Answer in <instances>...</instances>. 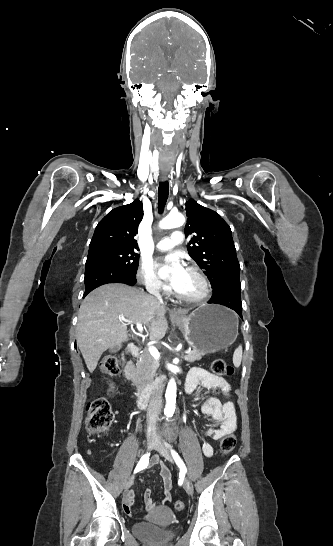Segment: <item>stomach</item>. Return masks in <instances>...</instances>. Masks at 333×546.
<instances>
[{"instance_id": "obj_1", "label": "stomach", "mask_w": 333, "mask_h": 546, "mask_svg": "<svg viewBox=\"0 0 333 546\" xmlns=\"http://www.w3.org/2000/svg\"><path fill=\"white\" fill-rule=\"evenodd\" d=\"M176 323L183 329L187 343L194 349L215 353L231 346L238 335V320L221 305H203Z\"/></svg>"}]
</instances>
